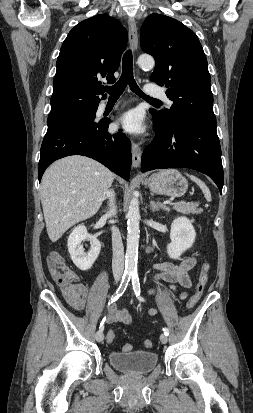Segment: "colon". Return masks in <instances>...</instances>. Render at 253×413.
Wrapping results in <instances>:
<instances>
[{
  "label": "colon",
  "mask_w": 253,
  "mask_h": 413,
  "mask_svg": "<svg viewBox=\"0 0 253 413\" xmlns=\"http://www.w3.org/2000/svg\"><path fill=\"white\" fill-rule=\"evenodd\" d=\"M47 265L49 272L52 276V278L59 284V285H67L71 283L74 278L75 274L73 271L66 265L64 259L58 254V253H51L47 259ZM209 270H210V265L209 263L205 262L203 263L200 274L198 277V281L195 287V292L194 294L190 297V299L187 301L186 307L187 309H192L195 307V305L198 303L200 300L207 281L209 277ZM106 339L108 342H112L115 339V333L113 330H109L106 335ZM153 345L152 341L147 339L144 341V346L146 348H151ZM131 350V345L130 344H125L123 346V351H130Z\"/></svg>",
  "instance_id": "obj_1"
}]
</instances>
